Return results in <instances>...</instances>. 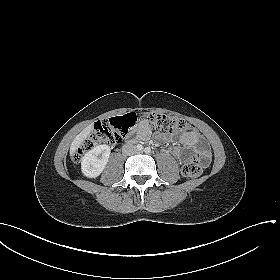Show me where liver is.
I'll return each instance as SVG.
<instances>
[{
    "instance_id": "liver-1",
    "label": "liver",
    "mask_w": 280,
    "mask_h": 280,
    "mask_svg": "<svg viewBox=\"0 0 280 280\" xmlns=\"http://www.w3.org/2000/svg\"><path fill=\"white\" fill-rule=\"evenodd\" d=\"M93 130V125L87 126L85 129H83L73 140L70 148V152L73 155V153L76 151L77 148L80 147V145L86 140V138L89 136L91 131Z\"/></svg>"
}]
</instances>
